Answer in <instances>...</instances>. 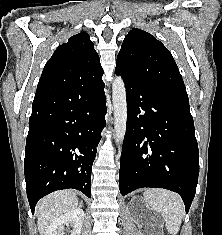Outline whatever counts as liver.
<instances>
[{
	"label": "liver",
	"mask_w": 222,
	"mask_h": 235,
	"mask_svg": "<svg viewBox=\"0 0 222 235\" xmlns=\"http://www.w3.org/2000/svg\"><path fill=\"white\" fill-rule=\"evenodd\" d=\"M78 198L73 191L54 192L42 198L37 206V225L41 235L46 234L48 226L58 217L77 209Z\"/></svg>",
	"instance_id": "liver-1"
}]
</instances>
